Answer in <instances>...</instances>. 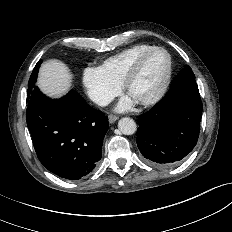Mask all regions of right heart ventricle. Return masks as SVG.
I'll return each mask as SVG.
<instances>
[{"instance_id": "1", "label": "right heart ventricle", "mask_w": 232, "mask_h": 232, "mask_svg": "<svg viewBox=\"0 0 232 232\" xmlns=\"http://www.w3.org/2000/svg\"><path fill=\"white\" fill-rule=\"evenodd\" d=\"M148 44H137L131 46L103 61L100 66L102 70L117 83L122 81L133 61L144 51L152 48Z\"/></svg>"}]
</instances>
